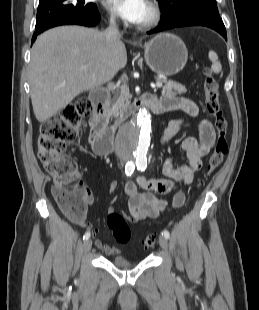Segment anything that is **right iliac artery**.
I'll list each match as a JSON object with an SVG mask.
<instances>
[{
    "label": "right iliac artery",
    "instance_id": "82829eb1",
    "mask_svg": "<svg viewBox=\"0 0 259 310\" xmlns=\"http://www.w3.org/2000/svg\"><path fill=\"white\" fill-rule=\"evenodd\" d=\"M135 165L133 162H128L125 166V173L127 176H131L134 172ZM90 238V232H86L83 236V240H88Z\"/></svg>",
    "mask_w": 259,
    "mask_h": 310
}]
</instances>
